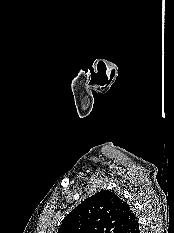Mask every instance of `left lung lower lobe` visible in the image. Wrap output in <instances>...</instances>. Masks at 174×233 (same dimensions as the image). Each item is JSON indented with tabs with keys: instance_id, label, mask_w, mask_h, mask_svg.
<instances>
[{
	"instance_id": "left-lung-lower-lobe-1",
	"label": "left lung lower lobe",
	"mask_w": 174,
	"mask_h": 233,
	"mask_svg": "<svg viewBox=\"0 0 174 233\" xmlns=\"http://www.w3.org/2000/svg\"><path fill=\"white\" fill-rule=\"evenodd\" d=\"M120 233H140L138 220L135 218L126 227H124Z\"/></svg>"
}]
</instances>
